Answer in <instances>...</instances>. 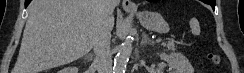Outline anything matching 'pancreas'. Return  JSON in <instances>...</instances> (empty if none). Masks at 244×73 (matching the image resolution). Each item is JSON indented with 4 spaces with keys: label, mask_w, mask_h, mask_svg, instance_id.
Returning <instances> with one entry per match:
<instances>
[{
    "label": "pancreas",
    "mask_w": 244,
    "mask_h": 73,
    "mask_svg": "<svg viewBox=\"0 0 244 73\" xmlns=\"http://www.w3.org/2000/svg\"><path fill=\"white\" fill-rule=\"evenodd\" d=\"M164 47H167L169 50H176L177 46L175 45L174 42L169 41L168 43H162L161 44Z\"/></svg>",
    "instance_id": "obj_1"
}]
</instances>
